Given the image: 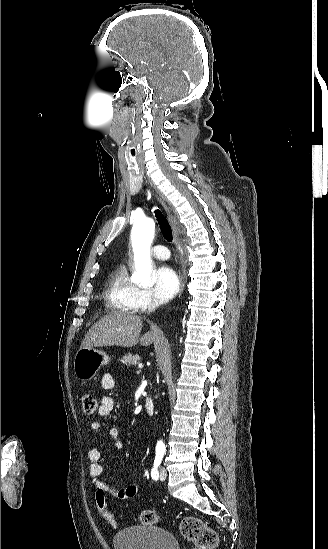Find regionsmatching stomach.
<instances>
[{
  "mask_svg": "<svg viewBox=\"0 0 328 549\" xmlns=\"http://www.w3.org/2000/svg\"><path fill=\"white\" fill-rule=\"evenodd\" d=\"M111 359L97 349H79L74 359V373L80 381H90L101 367L109 365Z\"/></svg>",
  "mask_w": 328,
  "mask_h": 549,
  "instance_id": "stomach-1",
  "label": "stomach"
}]
</instances>
